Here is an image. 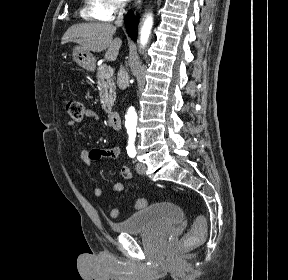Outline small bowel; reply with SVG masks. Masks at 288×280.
I'll return each instance as SVG.
<instances>
[{
    "label": "small bowel",
    "instance_id": "1",
    "mask_svg": "<svg viewBox=\"0 0 288 280\" xmlns=\"http://www.w3.org/2000/svg\"><path fill=\"white\" fill-rule=\"evenodd\" d=\"M84 116L88 118L98 119V115L95 111L85 108ZM76 124L75 120H70L68 122L69 126H74ZM122 155V150L119 147H108V148H95V149H82L78 157L79 159L86 163L90 164L92 161L108 158V159H119ZM122 175L126 180H130L132 178V174L130 168L128 166H124L122 168ZM125 186L121 182L114 183L112 186L113 193H120L124 190ZM93 195L95 197H100L102 195V190L99 187L93 188Z\"/></svg>",
    "mask_w": 288,
    "mask_h": 280
}]
</instances>
